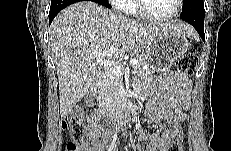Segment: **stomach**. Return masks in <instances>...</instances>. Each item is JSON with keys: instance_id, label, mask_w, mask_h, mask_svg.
I'll return each instance as SVG.
<instances>
[{"instance_id": "obj_1", "label": "stomach", "mask_w": 231, "mask_h": 151, "mask_svg": "<svg viewBox=\"0 0 231 151\" xmlns=\"http://www.w3.org/2000/svg\"><path fill=\"white\" fill-rule=\"evenodd\" d=\"M188 47L189 42L185 34L168 28L148 45L143 57L154 72L163 71L179 60L187 52Z\"/></svg>"}]
</instances>
